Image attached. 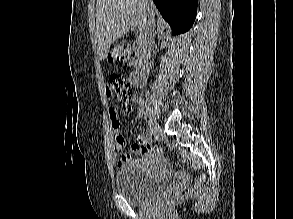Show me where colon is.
Returning a JSON list of instances; mask_svg holds the SVG:
<instances>
[{
  "label": "colon",
  "mask_w": 293,
  "mask_h": 219,
  "mask_svg": "<svg viewBox=\"0 0 293 219\" xmlns=\"http://www.w3.org/2000/svg\"><path fill=\"white\" fill-rule=\"evenodd\" d=\"M109 59L111 62H121L126 66H130L136 59L135 53L127 44H121L113 48L110 52ZM109 88L114 92L117 100L122 104L126 111L132 110L131 100L134 97L133 89L128 84L126 78L121 74H113L109 79ZM190 183H183L182 186L174 192L173 199L181 200L188 197L196 188Z\"/></svg>",
  "instance_id": "5ec220e1"
}]
</instances>
